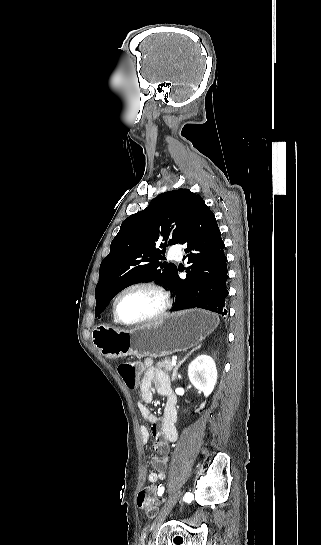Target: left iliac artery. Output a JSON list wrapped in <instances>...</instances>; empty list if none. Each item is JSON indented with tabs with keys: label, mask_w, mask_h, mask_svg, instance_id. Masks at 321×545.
<instances>
[{
	"label": "left iliac artery",
	"mask_w": 321,
	"mask_h": 545,
	"mask_svg": "<svg viewBox=\"0 0 321 545\" xmlns=\"http://www.w3.org/2000/svg\"><path fill=\"white\" fill-rule=\"evenodd\" d=\"M164 493V487H160L158 490V494L161 496Z\"/></svg>",
	"instance_id": "44dca946"
}]
</instances>
